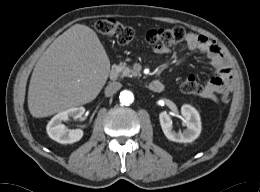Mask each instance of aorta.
<instances>
[{
  "mask_svg": "<svg viewBox=\"0 0 260 192\" xmlns=\"http://www.w3.org/2000/svg\"><path fill=\"white\" fill-rule=\"evenodd\" d=\"M119 99L121 104L129 106L134 101V95L131 91L123 90L119 95Z\"/></svg>",
  "mask_w": 260,
  "mask_h": 192,
  "instance_id": "1",
  "label": "aorta"
}]
</instances>
